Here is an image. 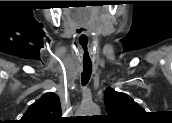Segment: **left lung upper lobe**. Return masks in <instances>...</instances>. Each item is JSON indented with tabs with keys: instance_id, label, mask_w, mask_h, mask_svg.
<instances>
[{
	"instance_id": "obj_1",
	"label": "left lung upper lobe",
	"mask_w": 172,
	"mask_h": 123,
	"mask_svg": "<svg viewBox=\"0 0 172 123\" xmlns=\"http://www.w3.org/2000/svg\"><path fill=\"white\" fill-rule=\"evenodd\" d=\"M108 118L126 121L138 118L145 110L125 93L108 88L104 95Z\"/></svg>"
}]
</instances>
